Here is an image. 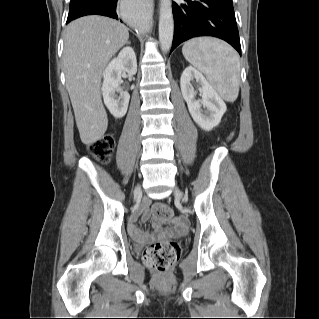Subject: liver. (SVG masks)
Listing matches in <instances>:
<instances>
[{
  "label": "liver",
  "instance_id": "1",
  "mask_svg": "<svg viewBox=\"0 0 319 319\" xmlns=\"http://www.w3.org/2000/svg\"><path fill=\"white\" fill-rule=\"evenodd\" d=\"M129 39L128 28L114 19L90 15L69 23L64 36L66 88L81 141L92 144L107 130L101 99L102 72Z\"/></svg>",
  "mask_w": 319,
  "mask_h": 319
}]
</instances>
